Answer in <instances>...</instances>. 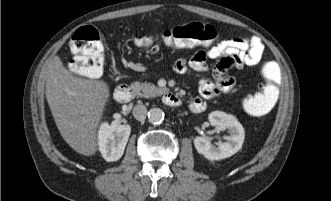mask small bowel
I'll use <instances>...</instances> for the list:
<instances>
[{
  "mask_svg": "<svg viewBox=\"0 0 331 201\" xmlns=\"http://www.w3.org/2000/svg\"><path fill=\"white\" fill-rule=\"evenodd\" d=\"M264 52V44L257 36L236 37L223 40L205 50H198L188 58L179 59L174 70L178 74H188L192 71L212 73V79L204 77L199 81V94L191 100L189 108L194 113L206 109V100L220 94L231 93L236 85L235 79L227 75L232 68H243L259 63ZM215 61L212 68L207 60Z\"/></svg>",
  "mask_w": 331,
  "mask_h": 201,
  "instance_id": "small-bowel-1",
  "label": "small bowel"
}]
</instances>
